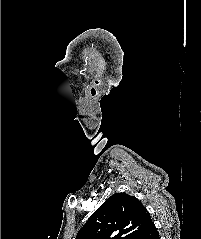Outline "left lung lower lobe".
Instances as JSON below:
<instances>
[{"label": "left lung lower lobe", "mask_w": 201, "mask_h": 239, "mask_svg": "<svg viewBox=\"0 0 201 239\" xmlns=\"http://www.w3.org/2000/svg\"><path fill=\"white\" fill-rule=\"evenodd\" d=\"M138 239H160L158 231L154 225V223L151 222L147 225L144 232L138 237Z\"/></svg>", "instance_id": "left-lung-lower-lobe-1"}]
</instances>
